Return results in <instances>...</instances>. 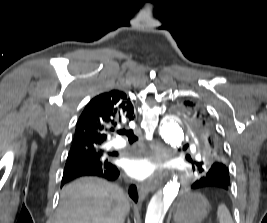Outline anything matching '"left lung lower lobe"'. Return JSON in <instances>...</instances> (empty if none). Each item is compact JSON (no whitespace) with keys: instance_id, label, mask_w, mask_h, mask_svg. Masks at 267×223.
I'll return each mask as SVG.
<instances>
[{"instance_id":"left-lung-lower-lobe-1","label":"left lung lower lobe","mask_w":267,"mask_h":223,"mask_svg":"<svg viewBox=\"0 0 267 223\" xmlns=\"http://www.w3.org/2000/svg\"><path fill=\"white\" fill-rule=\"evenodd\" d=\"M184 181L190 182L189 192L198 194L229 195L231 187H235L233 177L227 171H195Z\"/></svg>"}]
</instances>
